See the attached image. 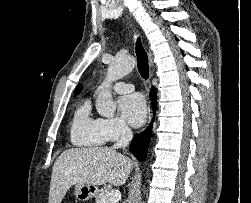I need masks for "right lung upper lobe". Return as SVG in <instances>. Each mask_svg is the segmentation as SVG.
<instances>
[{
	"instance_id": "1",
	"label": "right lung upper lobe",
	"mask_w": 251,
	"mask_h": 203,
	"mask_svg": "<svg viewBox=\"0 0 251 203\" xmlns=\"http://www.w3.org/2000/svg\"><path fill=\"white\" fill-rule=\"evenodd\" d=\"M82 90V85H78L75 89V95H78Z\"/></svg>"
}]
</instances>
